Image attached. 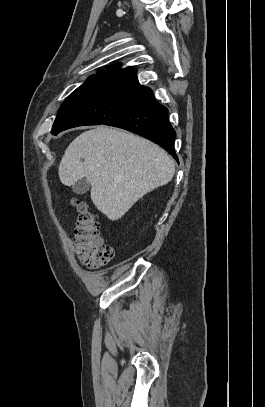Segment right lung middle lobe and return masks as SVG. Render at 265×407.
I'll return each instance as SVG.
<instances>
[{"instance_id": "1", "label": "right lung middle lobe", "mask_w": 265, "mask_h": 407, "mask_svg": "<svg viewBox=\"0 0 265 407\" xmlns=\"http://www.w3.org/2000/svg\"><path fill=\"white\" fill-rule=\"evenodd\" d=\"M153 95L138 83L109 77H90L64 101L51 133L84 125L104 124Z\"/></svg>"}]
</instances>
